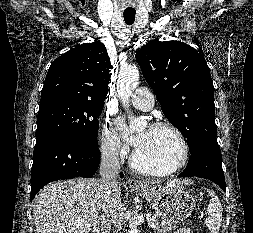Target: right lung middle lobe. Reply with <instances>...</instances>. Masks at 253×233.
Listing matches in <instances>:
<instances>
[{
	"label": "right lung middle lobe",
	"instance_id": "right-lung-middle-lobe-1",
	"mask_svg": "<svg viewBox=\"0 0 253 233\" xmlns=\"http://www.w3.org/2000/svg\"><path fill=\"white\" fill-rule=\"evenodd\" d=\"M104 102L53 99L40 103L36 140L64 137L89 147H98V117Z\"/></svg>",
	"mask_w": 253,
	"mask_h": 233
}]
</instances>
